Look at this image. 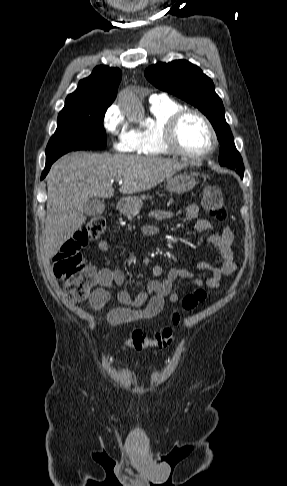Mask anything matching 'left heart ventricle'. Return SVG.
Segmentation results:
<instances>
[{
	"mask_svg": "<svg viewBox=\"0 0 287 486\" xmlns=\"http://www.w3.org/2000/svg\"><path fill=\"white\" fill-rule=\"evenodd\" d=\"M179 145L189 152H201L211 144V137L203 121L188 115L180 123L177 131Z\"/></svg>",
	"mask_w": 287,
	"mask_h": 486,
	"instance_id": "left-heart-ventricle-1",
	"label": "left heart ventricle"
}]
</instances>
